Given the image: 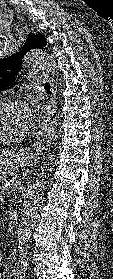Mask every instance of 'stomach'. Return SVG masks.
<instances>
[{
  "mask_svg": "<svg viewBox=\"0 0 113 279\" xmlns=\"http://www.w3.org/2000/svg\"><path fill=\"white\" fill-rule=\"evenodd\" d=\"M37 160L35 154L19 152L13 157H0V182L13 174L19 167L33 166Z\"/></svg>",
  "mask_w": 113,
  "mask_h": 279,
  "instance_id": "stomach-1",
  "label": "stomach"
}]
</instances>
